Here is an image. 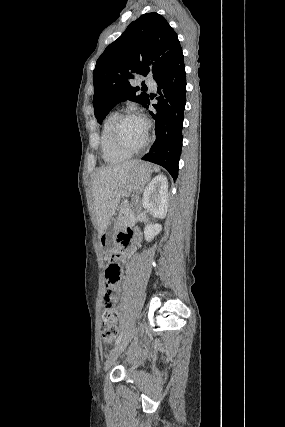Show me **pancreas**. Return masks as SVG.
Segmentation results:
<instances>
[{
	"instance_id": "cf45deb5",
	"label": "pancreas",
	"mask_w": 285,
	"mask_h": 427,
	"mask_svg": "<svg viewBox=\"0 0 285 427\" xmlns=\"http://www.w3.org/2000/svg\"><path fill=\"white\" fill-rule=\"evenodd\" d=\"M135 221V210L133 205H124L120 209V213L117 219L119 226L128 225Z\"/></svg>"
}]
</instances>
